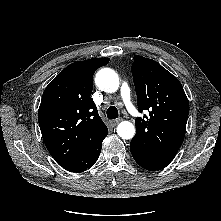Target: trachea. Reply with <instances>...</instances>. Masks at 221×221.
<instances>
[{
	"label": "trachea",
	"mask_w": 221,
	"mask_h": 221,
	"mask_svg": "<svg viewBox=\"0 0 221 221\" xmlns=\"http://www.w3.org/2000/svg\"><path fill=\"white\" fill-rule=\"evenodd\" d=\"M107 117L109 119H115L119 116V112H118V109L115 107V106H110L108 109H107Z\"/></svg>",
	"instance_id": "obj_1"
}]
</instances>
